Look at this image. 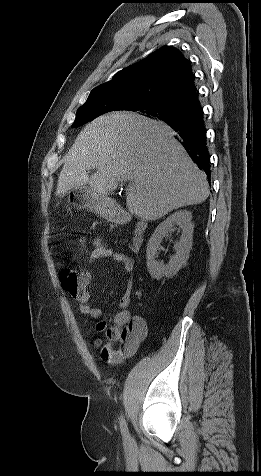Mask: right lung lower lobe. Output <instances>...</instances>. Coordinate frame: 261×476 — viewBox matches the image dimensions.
Returning a JSON list of instances; mask_svg holds the SVG:
<instances>
[{
  "label": "right lung lower lobe",
  "mask_w": 261,
  "mask_h": 476,
  "mask_svg": "<svg viewBox=\"0 0 261 476\" xmlns=\"http://www.w3.org/2000/svg\"><path fill=\"white\" fill-rule=\"evenodd\" d=\"M165 123L177 133L178 140L190 157L210 177L204 113L200 103L184 110L177 119Z\"/></svg>",
  "instance_id": "98d812e1"
}]
</instances>
